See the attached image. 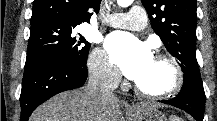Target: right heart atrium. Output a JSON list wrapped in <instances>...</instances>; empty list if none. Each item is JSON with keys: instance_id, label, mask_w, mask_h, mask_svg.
Wrapping results in <instances>:
<instances>
[{"instance_id": "1", "label": "right heart atrium", "mask_w": 217, "mask_h": 121, "mask_svg": "<svg viewBox=\"0 0 217 121\" xmlns=\"http://www.w3.org/2000/svg\"><path fill=\"white\" fill-rule=\"evenodd\" d=\"M87 67L91 77L100 84L114 87L120 82L118 70L110 63L108 56L100 48L90 53Z\"/></svg>"}]
</instances>
